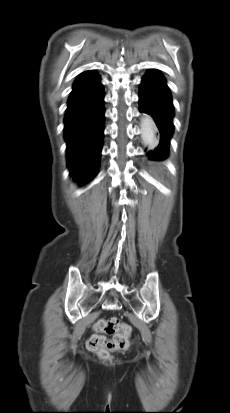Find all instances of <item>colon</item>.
<instances>
[{
	"mask_svg": "<svg viewBox=\"0 0 230 413\" xmlns=\"http://www.w3.org/2000/svg\"><path fill=\"white\" fill-rule=\"evenodd\" d=\"M96 334L89 337L87 348L99 358L110 359L113 351L126 350L129 347L131 328L121 323L117 318H102L94 325ZM104 334L114 335L107 339Z\"/></svg>",
	"mask_w": 230,
	"mask_h": 413,
	"instance_id": "1",
	"label": "colon"
}]
</instances>
